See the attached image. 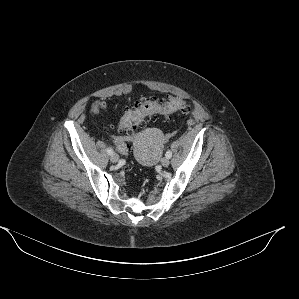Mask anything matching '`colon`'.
<instances>
[{"label":"colon","mask_w":299,"mask_h":299,"mask_svg":"<svg viewBox=\"0 0 299 299\" xmlns=\"http://www.w3.org/2000/svg\"><path fill=\"white\" fill-rule=\"evenodd\" d=\"M102 108L103 104L96 101L91 105V112L97 114ZM189 110V102L181 98H144L137 103L134 109L124 113L120 120L119 128L122 132L126 133L127 137L132 138L135 129L143 125L149 118L158 114L169 116L174 113H186ZM117 148L123 152L124 155L130 151L129 144L124 142L118 143Z\"/></svg>","instance_id":"colon-1"}]
</instances>
